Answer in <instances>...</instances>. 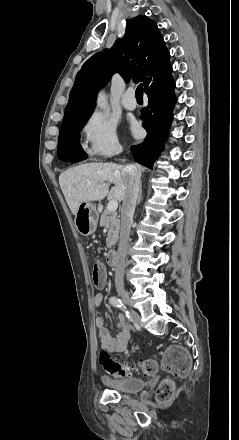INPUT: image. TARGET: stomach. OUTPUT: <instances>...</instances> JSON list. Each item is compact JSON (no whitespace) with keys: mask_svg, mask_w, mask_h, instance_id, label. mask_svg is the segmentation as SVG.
Listing matches in <instances>:
<instances>
[{"mask_svg":"<svg viewBox=\"0 0 239 440\" xmlns=\"http://www.w3.org/2000/svg\"><path fill=\"white\" fill-rule=\"evenodd\" d=\"M98 220L99 214L96 204H93V202H82V204H79L74 224L81 236H91V234H94Z\"/></svg>","mask_w":239,"mask_h":440,"instance_id":"stomach-1","label":"stomach"}]
</instances>
